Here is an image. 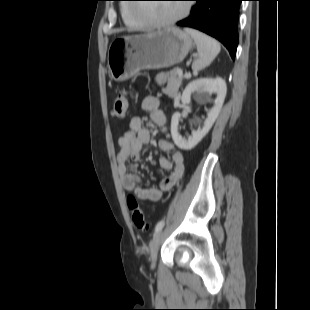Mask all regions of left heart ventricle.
Instances as JSON below:
<instances>
[{"label": "left heart ventricle", "instance_id": "obj_1", "mask_svg": "<svg viewBox=\"0 0 310 310\" xmlns=\"http://www.w3.org/2000/svg\"><path fill=\"white\" fill-rule=\"evenodd\" d=\"M183 9L182 5L178 4H151L138 9V12L142 16L148 18L164 21L177 16Z\"/></svg>", "mask_w": 310, "mask_h": 310}]
</instances>
